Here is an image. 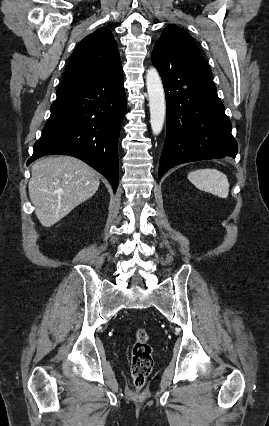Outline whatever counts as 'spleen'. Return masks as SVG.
I'll list each match as a JSON object with an SVG mask.
<instances>
[{"mask_svg":"<svg viewBox=\"0 0 269 426\" xmlns=\"http://www.w3.org/2000/svg\"><path fill=\"white\" fill-rule=\"evenodd\" d=\"M188 179L200 190L221 198L228 197L230 186L228 178L217 169H200L190 172Z\"/></svg>","mask_w":269,"mask_h":426,"instance_id":"3e777b00","label":"spleen"}]
</instances>
